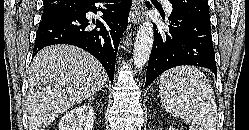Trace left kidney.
<instances>
[{"label": "left kidney", "instance_id": "5707ae66", "mask_svg": "<svg viewBox=\"0 0 249 130\" xmlns=\"http://www.w3.org/2000/svg\"><path fill=\"white\" fill-rule=\"evenodd\" d=\"M169 130H175L173 127L170 126Z\"/></svg>", "mask_w": 249, "mask_h": 130}]
</instances>
